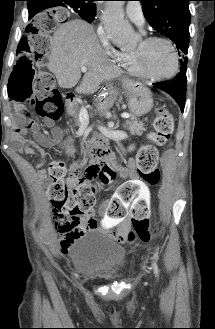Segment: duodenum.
<instances>
[{
  "label": "duodenum",
  "mask_w": 215,
  "mask_h": 329,
  "mask_svg": "<svg viewBox=\"0 0 215 329\" xmlns=\"http://www.w3.org/2000/svg\"><path fill=\"white\" fill-rule=\"evenodd\" d=\"M74 99V94L71 92L64 94V100L67 103H71ZM96 146L92 148L90 156L95 164L103 162H112L113 157L106 142L99 143V139L95 140Z\"/></svg>",
  "instance_id": "duodenum-1"
}]
</instances>
